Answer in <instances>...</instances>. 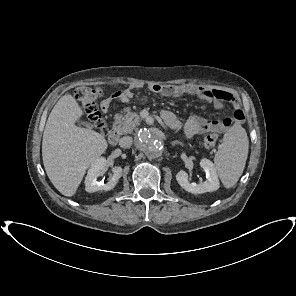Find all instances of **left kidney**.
I'll return each mask as SVG.
<instances>
[{"instance_id":"1","label":"left kidney","mask_w":296,"mask_h":296,"mask_svg":"<svg viewBox=\"0 0 296 296\" xmlns=\"http://www.w3.org/2000/svg\"><path fill=\"white\" fill-rule=\"evenodd\" d=\"M200 166L206 173V181L197 183H190L188 180V174L181 170L176 174V180L178 184L186 191L193 194H202L205 192H212L219 189V179L214 164L203 158L200 161Z\"/></svg>"}]
</instances>
